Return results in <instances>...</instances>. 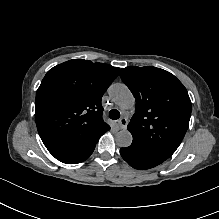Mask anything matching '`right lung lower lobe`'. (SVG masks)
<instances>
[{
    "label": "right lung lower lobe",
    "mask_w": 219,
    "mask_h": 219,
    "mask_svg": "<svg viewBox=\"0 0 219 219\" xmlns=\"http://www.w3.org/2000/svg\"><path fill=\"white\" fill-rule=\"evenodd\" d=\"M109 129L103 131V133L92 144L85 146L55 147L49 148L48 151L57 160L66 164H77L83 162L92 154L98 139Z\"/></svg>",
    "instance_id": "right-lung-lower-lobe-1"
}]
</instances>
